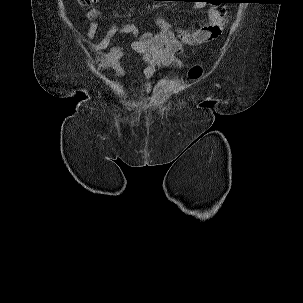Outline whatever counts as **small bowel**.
Listing matches in <instances>:
<instances>
[{
    "label": "small bowel",
    "mask_w": 303,
    "mask_h": 303,
    "mask_svg": "<svg viewBox=\"0 0 303 303\" xmlns=\"http://www.w3.org/2000/svg\"><path fill=\"white\" fill-rule=\"evenodd\" d=\"M102 13L97 8H91L87 18L91 21L87 35L93 38L98 30V20ZM156 33L141 35L138 27L133 23L121 26L113 25L105 36L94 43L90 50L95 54V61L104 69L111 70L113 77L119 78L124 75L121 60L127 56L124 49L119 46L106 51L116 34L124 36L131 35L134 41L131 48L137 52L145 63L143 70V81H148L161 67H180L184 56L183 44H198L219 36L224 25V13L216 8L210 10L208 19L198 27L178 30L176 37L173 27L165 18H155Z\"/></svg>",
    "instance_id": "obj_1"
}]
</instances>
